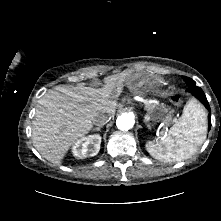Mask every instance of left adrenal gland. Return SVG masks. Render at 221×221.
<instances>
[{"label": "left adrenal gland", "mask_w": 221, "mask_h": 221, "mask_svg": "<svg viewBox=\"0 0 221 221\" xmlns=\"http://www.w3.org/2000/svg\"><path fill=\"white\" fill-rule=\"evenodd\" d=\"M147 127H148V128H150V125H149V124H147Z\"/></svg>", "instance_id": "left-adrenal-gland-1"}]
</instances>
